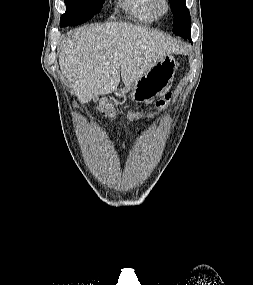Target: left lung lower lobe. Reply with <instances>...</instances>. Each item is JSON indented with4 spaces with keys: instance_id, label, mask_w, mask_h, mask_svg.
I'll use <instances>...</instances> for the list:
<instances>
[{
    "instance_id": "0a47b994",
    "label": "left lung lower lobe",
    "mask_w": 253,
    "mask_h": 285,
    "mask_svg": "<svg viewBox=\"0 0 253 285\" xmlns=\"http://www.w3.org/2000/svg\"><path fill=\"white\" fill-rule=\"evenodd\" d=\"M188 39L191 41V35L188 37ZM192 42V41H191Z\"/></svg>"
}]
</instances>
